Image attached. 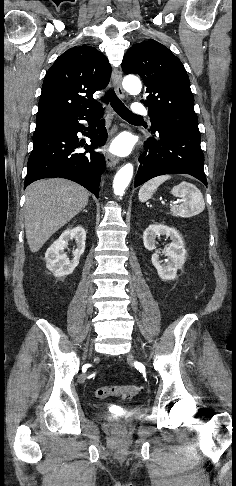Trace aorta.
<instances>
[{"mask_svg":"<svg viewBox=\"0 0 236 486\" xmlns=\"http://www.w3.org/2000/svg\"><path fill=\"white\" fill-rule=\"evenodd\" d=\"M124 89L131 93L137 94L141 91V82L135 76H127L123 80ZM133 176V165L128 163L121 167L116 173L113 181V190L115 195L122 196L128 187Z\"/></svg>","mask_w":236,"mask_h":486,"instance_id":"762f6f07","label":"aorta"}]
</instances>
